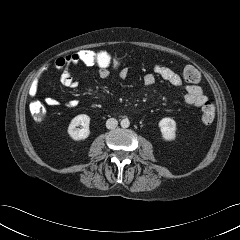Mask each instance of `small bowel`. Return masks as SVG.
<instances>
[{
	"label": "small bowel",
	"mask_w": 240,
	"mask_h": 240,
	"mask_svg": "<svg viewBox=\"0 0 240 240\" xmlns=\"http://www.w3.org/2000/svg\"><path fill=\"white\" fill-rule=\"evenodd\" d=\"M55 68L59 71V81L61 85L67 88L76 89L78 87V81L71 75L69 71L70 66H75L71 54L58 57L54 61ZM129 74V70L127 67H122L118 70V75L121 79H126ZM110 76V69L105 67L98 68V77L101 80H106ZM156 77H160L162 80L168 82L170 85L174 87L183 88L185 91V103L187 105L195 106V107H203L206 103L209 102L208 97L204 94L203 89L197 84H185L183 78L165 66L164 64H156L153 68V73H148L143 77V82L147 86H151L155 83ZM38 91V81H35L29 90V95L34 97ZM45 103L49 106H57L61 102L51 96H46L44 98ZM65 105L69 108H74L77 106L76 100H68L65 102Z\"/></svg>",
	"instance_id": "obj_1"
}]
</instances>
